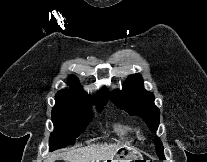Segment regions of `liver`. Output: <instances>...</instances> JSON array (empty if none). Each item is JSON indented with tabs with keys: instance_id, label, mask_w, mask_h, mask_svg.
<instances>
[{
	"instance_id": "6515ba94",
	"label": "liver",
	"mask_w": 207,
	"mask_h": 162,
	"mask_svg": "<svg viewBox=\"0 0 207 162\" xmlns=\"http://www.w3.org/2000/svg\"><path fill=\"white\" fill-rule=\"evenodd\" d=\"M120 144H96L86 147L65 151L62 153H53L45 162H54L62 160L68 162H99L100 160L112 159L119 148Z\"/></svg>"
}]
</instances>
